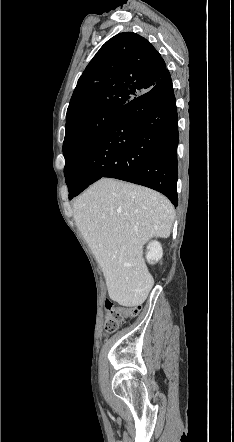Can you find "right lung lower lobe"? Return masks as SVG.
Instances as JSON below:
<instances>
[{"label": "right lung lower lobe", "mask_w": 234, "mask_h": 442, "mask_svg": "<svg viewBox=\"0 0 234 442\" xmlns=\"http://www.w3.org/2000/svg\"><path fill=\"white\" fill-rule=\"evenodd\" d=\"M178 115L168 70L120 111L72 169L69 199L101 177L157 190L177 206Z\"/></svg>", "instance_id": "right-lung-lower-lobe-1"}]
</instances>
